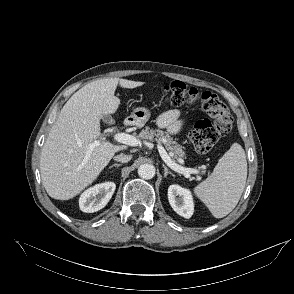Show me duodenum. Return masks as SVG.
<instances>
[{
  "label": "duodenum",
  "instance_id": "obj_1",
  "mask_svg": "<svg viewBox=\"0 0 294 294\" xmlns=\"http://www.w3.org/2000/svg\"><path fill=\"white\" fill-rule=\"evenodd\" d=\"M133 123H134V119L133 118H126L125 120H124V126L125 127H131L132 125H133Z\"/></svg>",
  "mask_w": 294,
  "mask_h": 294
}]
</instances>
